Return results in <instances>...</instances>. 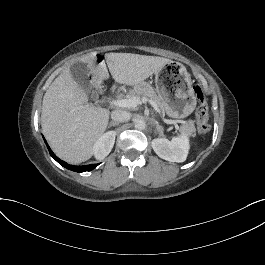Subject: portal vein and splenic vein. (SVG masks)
Wrapping results in <instances>:
<instances>
[{
  "instance_id": "portal-vein-and-splenic-vein-1",
  "label": "portal vein and splenic vein",
  "mask_w": 265,
  "mask_h": 265,
  "mask_svg": "<svg viewBox=\"0 0 265 265\" xmlns=\"http://www.w3.org/2000/svg\"><path fill=\"white\" fill-rule=\"evenodd\" d=\"M147 101H149V103L151 104V106L160 113V109L158 107V105L153 101V100H148L146 97H142L140 99V97H131L129 99H121V100H115L112 101V104L121 108H135L137 107L139 104L141 103H146ZM166 124H176L173 120H169V119H164L163 120Z\"/></svg>"
}]
</instances>
